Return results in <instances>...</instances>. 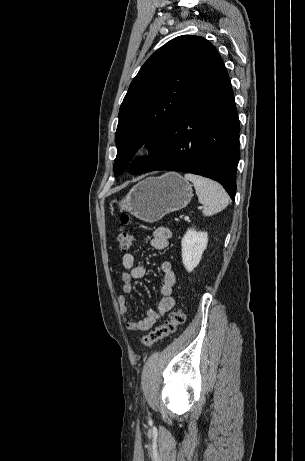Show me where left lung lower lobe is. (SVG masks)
I'll return each mask as SVG.
<instances>
[{"instance_id":"0a47b994","label":"left lung lower lobe","mask_w":305,"mask_h":461,"mask_svg":"<svg viewBox=\"0 0 305 461\" xmlns=\"http://www.w3.org/2000/svg\"><path fill=\"white\" fill-rule=\"evenodd\" d=\"M239 131L234 94L219 56L170 122L160 156L148 172L202 175L220 182L234 200Z\"/></svg>"}]
</instances>
